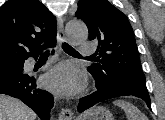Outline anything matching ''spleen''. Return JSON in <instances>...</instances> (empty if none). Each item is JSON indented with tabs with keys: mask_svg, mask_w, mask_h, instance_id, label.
<instances>
[{
	"mask_svg": "<svg viewBox=\"0 0 165 120\" xmlns=\"http://www.w3.org/2000/svg\"><path fill=\"white\" fill-rule=\"evenodd\" d=\"M114 105L124 110L127 120H148L146 115H144L136 106L128 101L116 100L114 101Z\"/></svg>",
	"mask_w": 165,
	"mask_h": 120,
	"instance_id": "obj_1",
	"label": "spleen"
}]
</instances>
